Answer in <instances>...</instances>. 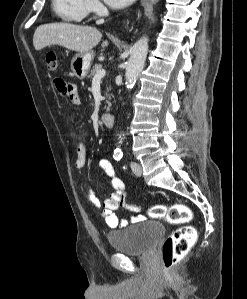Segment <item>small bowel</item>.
Instances as JSON below:
<instances>
[{"instance_id":"small-bowel-1","label":"small bowel","mask_w":247,"mask_h":299,"mask_svg":"<svg viewBox=\"0 0 247 299\" xmlns=\"http://www.w3.org/2000/svg\"><path fill=\"white\" fill-rule=\"evenodd\" d=\"M54 85L57 91L65 96L72 104H79L80 98L78 90L75 84L65 81L62 78H55ZM87 151L86 145L80 142L76 147V167L78 169L84 168L86 164ZM99 168L106 175L108 184L112 189V192L108 197L101 202L93 193L92 190L87 189L84 192L86 200L95 208L102 209V216L105 219L106 224L112 228H118L120 226L127 225V220L118 217L114 212L120 207L128 210L139 212L140 207L135 205H128L125 203V184L116 175L112 163L108 159H101L99 161ZM146 217L144 215H138L131 218L133 223L143 221Z\"/></svg>"}]
</instances>
